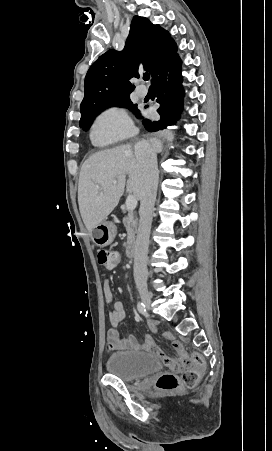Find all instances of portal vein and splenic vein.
<instances>
[{"label":"portal vein and splenic vein","instance_id":"portal-vein-and-splenic-vein-1","mask_svg":"<svg viewBox=\"0 0 272 451\" xmlns=\"http://www.w3.org/2000/svg\"><path fill=\"white\" fill-rule=\"evenodd\" d=\"M114 184H116L115 180H114ZM125 204H126L127 210H129V212H133V210H135V208L137 206V200H136L135 196H127V200H126Z\"/></svg>","mask_w":272,"mask_h":451}]
</instances>
